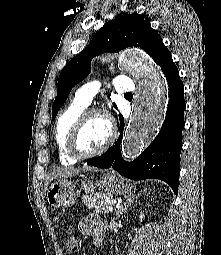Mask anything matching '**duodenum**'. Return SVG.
Masks as SVG:
<instances>
[{"label":"duodenum","instance_id":"obj_1","mask_svg":"<svg viewBox=\"0 0 221 255\" xmlns=\"http://www.w3.org/2000/svg\"><path fill=\"white\" fill-rule=\"evenodd\" d=\"M101 242H102L101 239H96V240L94 241V243H95V245H96L97 247H99V246L101 245Z\"/></svg>","mask_w":221,"mask_h":255}]
</instances>
